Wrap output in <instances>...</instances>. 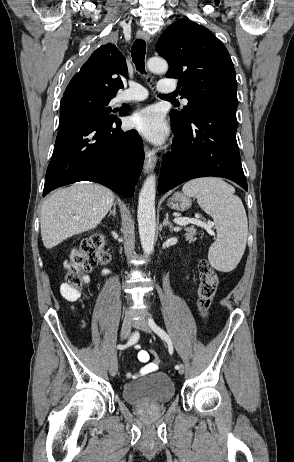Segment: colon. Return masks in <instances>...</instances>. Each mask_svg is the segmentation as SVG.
<instances>
[{
  "mask_svg": "<svg viewBox=\"0 0 294 462\" xmlns=\"http://www.w3.org/2000/svg\"><path fill=\"white\" fill-rule=\"evenodd\" d=\"M110 256L104 247L102 236L84 239L72 248L65 262L64 282L61 285L62 296L70 301L77 300L87 283V273L96 265L108 262ZM200 284L198 288V307L205 316L212 306L216 295L219 278L211 265L203 260L199 264ZM154 362H159L156 352H151Z\"/></svg>",
  "mask_w": 294,
  "mask_h": 462,
  "instance_id": "obj_1",
  "label": "colon"
}]
</instances>
